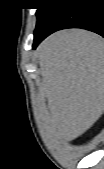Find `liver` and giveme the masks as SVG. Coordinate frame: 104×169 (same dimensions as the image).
Segmentation results:
<instances>
[{
  "instance_id": "obj_1",
  "label": "liver",
  "mask_w": 104,
  "mask_h": 169,
  "mask_svg": "<svg viewBox=\"0 0 104 169\" xmlns=\"http://www.w3.org/2000/svg\"><path fill=\"white\" fill-rule=\"evenodd\" d=\"M42 84L47 98L48 129L72 141L85 133L104 110V41L92 32H56L38 47Z\"/></svg>"
}]
</instances>
